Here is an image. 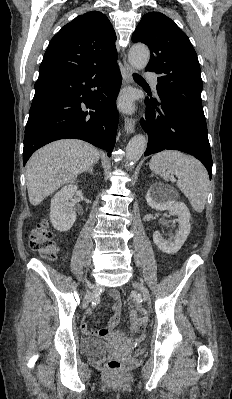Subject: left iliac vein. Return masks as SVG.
I'll list each match as a JSON object with an SVG mask.
<instances>
[{
    "label": "left iliac vein",
    "instance_id": "1",
    "mask_svg": "<svg viewBox=\"0 0 232 399\" xmlns=\"http://www.w3.org/2000/svg\"><path fill=\"white\" fill-rule=\"evenodd\" d=\"M132 288H133V289H139V290H141V293H143L144 298L146 299V302H147L149 305H152V304H153V301L151 300V295H150V292L148 291V288H144V285H143L142 283L133 284V285H132Z\"/></svg>",
    "mask_w": 232,
    "mask_h": 399
}]
</instances>
